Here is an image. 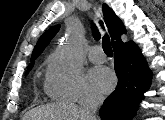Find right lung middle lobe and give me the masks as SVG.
<instances>
[{
	"instance_id": "right-lung-middle-lobe-1",
	"label": "right lung middle lobe",
	"mask_w": 165,
	"mask_h": 120,
	"mask_svg": "<svg viewBox=\"0 0 165 120\" xmlns=\"http://www.w3.org/2000/svg\"><path fill=\"white\" fill-rule=\"evenodd\" d=\"M32 67H33V64H31L30 66H28L26 74H28V72L31 70Z\"/></svg>"
}]
</instances>
